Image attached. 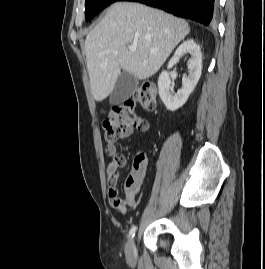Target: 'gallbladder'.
<instances>
[{"instance_id":"obj_1","label":"gallbladder","mask_w":265,"mask_h":269,"mask_svg":"<svg viewBox=\"0 0 265 269\" xmlns=\"http://www.w3.org/2000/svg\"><path fill=\"white\" fill-rule=\"evenodd\" d=\"M137 85L138 80L132 74L123 71L110 94V104L119 105L126 101L135 92Z\"/></svg>"}]
</instances>
